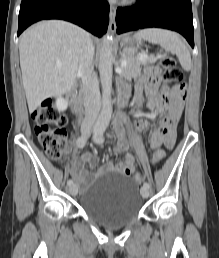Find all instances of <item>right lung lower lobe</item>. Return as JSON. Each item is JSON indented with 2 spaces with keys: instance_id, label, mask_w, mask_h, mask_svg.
<instances>
[{
  "instance_id": "right-lung-lower-lobe-1",
  "label": "right lung lower lobe",
  "mask_w": 219,
  "mask_h": 258,
  "mask_svg": "<svg viewBox=\"0 0 219 258\" xmlns=\"http://www.w3.org/2000/svg\"><path fill=\"white\" fill-rule=\"evenodd\" d=\"M43 19L70 21L101 37L109 23V4L106 0H22L18 36Z\"/></svg>"
}]
</instances>
